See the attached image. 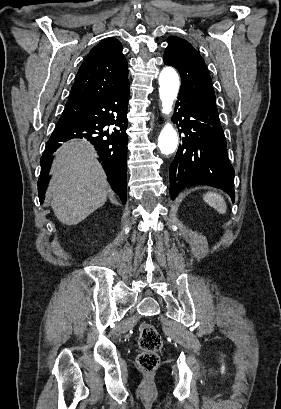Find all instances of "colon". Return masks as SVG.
I'll use <instances>...</instances> for the list:
<instances>
[{"label": "colon", "instance_id": "5ec220e1", "mask_svg": "<svg viewBox=\"0 0 281 409\" xmlns=\"http://www.w3.org/2000/svg\"><path fill=\"white\" fill-rule=\"evenodd\" d=\"M138 344L142 351L137 358L139 367L144 371L155 370L160 362L158 352L163 347V339L154 326L140 325Z\"/></svg>", "mask_w": 281, "mask_h": 409}]
</instances>
